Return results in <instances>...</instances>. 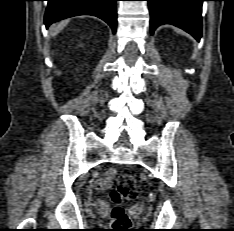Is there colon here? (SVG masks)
<instances>
[{"mask_svg":"<svg viewBox=\"0 0 234 231\" xmlns=\"http://www.w3.org/2000/svg\"><path fill=\"white\" fill-rule=\"evenodd\" d=\"M137 194L138 190L135 178L127 173L120 175L115 188L110 193V199L113 203L110 215L114 230H130L131 219L126 209L123 207V203L135 199Z\"/></svg>","mask_w":234,"mask_h":231,"instance_id":"5ec220e1","label":"colon"}]
</instances>
